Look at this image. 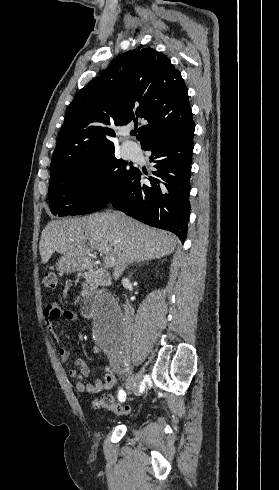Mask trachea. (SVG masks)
Returning <instances> with one entry per match:
<instances>
[{"label": "trachea", "mask_w": 279, "mask_h": 490, "mask_svg": "<svg viewBox=\"0 0 279 490\" xmlns=\"http://www.w3.org/2000/svg\"><path fill=\"white\" fill-rule=\"evenodd\" d=\"M136 133H137V130H134L131 132V135H136Z\"/></svg>", "instance_id": "3493384b"}]
</instances>
